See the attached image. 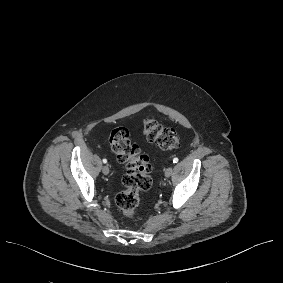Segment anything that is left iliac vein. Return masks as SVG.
<instances>
[{
    "label": "left iliac vein",
    "instance_id": "obj_1",
    "mask_svg": "<svg viewBox=\"0 0 283 283\" xmlns=\"http://www.w3.org/2000/svg\"><path fill=\"white\" fill-rule=\"evenodd\" d=\"M173 172V168L172 167H168L166 170H165V177H170L171 174Z\"/></svg>",
    "mask_w": 283,
    "mask_h": 283
}]
</instances>
